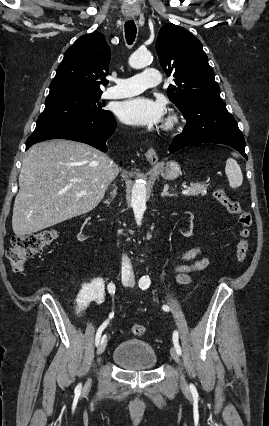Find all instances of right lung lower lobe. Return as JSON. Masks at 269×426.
<instances>
[{
  "mask_svg": "<svg viewBox=\"0 0 269 426\" xmlns=\"http://www.w3.org/2000/svg\"><path fill=\"white\" fill-rule=\"evenodd\" d=\"M116 125L113 114L107 111L99 117L71 122L31 135L27 139L26 150L35 143L60 138L83 142L106 152V141L115 131Z\"/></svg>",
  "mask_w": 269,
  "mask_h": 426,
  "instance_id": "1",
  "label": "right lung lower lobe"
}]
</instances>
